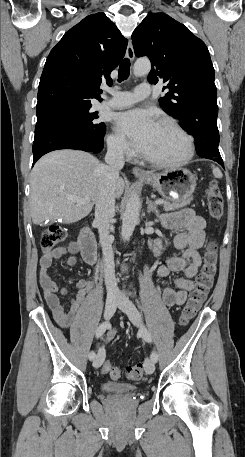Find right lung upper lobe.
<instances>
[{
	"mask_svg": "<svg viewBox=\"0 0 245 457\" xmlns=\"http://www.w3.org/2000/svg\"><path fill=\"white\" fill-rule=\"evenodd\" d=\"M128 40L103 12L85 17L64 34L47 57L38 89L37 112L63 101L100 99L102 80L124 57Z\"/></svg>",
	"mask_w": 245,
	"mask_h": 457,
	"instance_id": "cb5924a9",
	"label": "right lung upper lobe"
}]
</instances>
